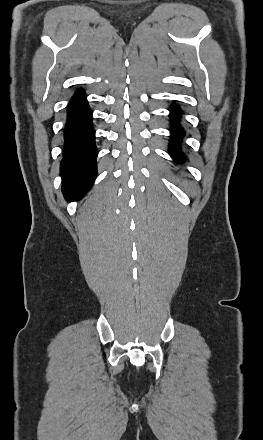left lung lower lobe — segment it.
<instances>
[{
	"label": "left lung lower lobe",
	"mask_w": 263,
	"mask_h": 440,
	"mask_svg": "<svg viewBox=\"0 0 263 440\" xmlns=\"http://www.w3.org/2000/svg\"><path fill=\"white\" fill-rule=\"evenodd\" d=\"M181 114V110L178 107H174L171 109L170 117L172 119L173 123V129L171 130L172 136H171V144H170V154L171 156L177 160L182 161L183 155L180 152V145H181V138L184 135L183 130L178 125V117Z\"/></svg>",
	"instance_id": "1"
}]
</instances>
